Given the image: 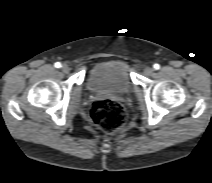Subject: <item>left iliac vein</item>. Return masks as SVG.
Here are the masks:
<instances>
[{"instance_id": "4c4485c4", "label": "left iliac vein", "mask_w": 212, "mask_h": 183, "mask_svg": "<svg viewBox=\"0 0 212 183\" xmlns=\"http://www.w3.org/2000/svg\"><path fill=\"white\" fill-rule=\"evenodd\" d=\"M153 73V69L151 67H146L144 69V74L145 75H151Z\"/></svg>"}]
</instances>
